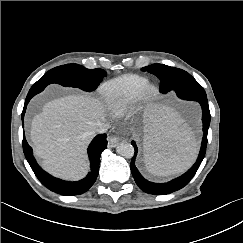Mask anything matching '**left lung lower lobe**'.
I'll return each instance as SVG.
<instances>
[{
    "instance_id": "left-lung-lower-lobe-1",
    "label": "left lung lower lobe",
    "mask_w": 243,
    "mask_h": 243,
    "mask_svg": "<svg viewBox=\"0 0 243 243\" xmlns=\"http://www.w3.org/2000/svg\"><path fill=\"white\" fill-rule=\"evenodd\" d=\"M176 94L181 99L197 101L200 103L202 107L203 138L201 143V149L195 164L186 173L167 183H153L146 180L136 168L135 158L138 149L136 143L132 141L131 144L134 146L135 154L131 160L130 169L134 177V180L136 184L139 186V188L149 194L166 195L186 186L197 172L205 156L207 147V133L210 125V111L206 93L201 85H197L183 90H179L176 92Z\"/></svg>"
}]
</instances>
